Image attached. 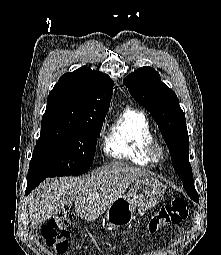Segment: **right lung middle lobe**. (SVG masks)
Wrapping results in <instances>:
<instances>
[{
  "instance_id": "obj_1",
  "label": "right lung middle lobe",
  "mask_w": 221,
  "mask_h": 255,
  "mask_svg": "<svg viewBox=\"0 0 221 255\" xmlns=\"http://www.w3.org/2000/svg\"><path fill=\"white\" fill-rule=\"evenodd\" d=\"M107 111L88 121L42 119L28 178L80 175L93 163Z\"/></svg>"
}]
</instances>
